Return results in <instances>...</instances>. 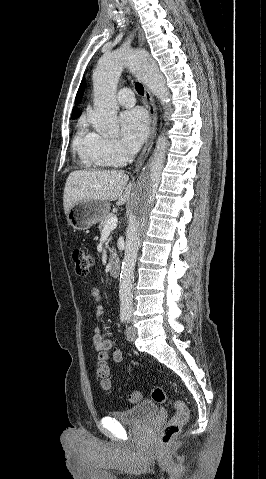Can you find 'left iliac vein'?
Instances as JSON below:
<instances>
[{
  "label": "left iliac vein",
  "instance_id": "left-iliac-vein-1",
  "mask_svg": "<svg viewBox=\"0 0 266 479\" xmlns=\"http://www.w3.org/2000/svg\"><path fill=\"white\" fill-rule=\"evenodd\" d=\"M136 335H137V330L134 327L130 326L127 328L126 338L128 341H133L136 338Z\"/></svg>",
  "mask_w": 266,
  "mask_h": 479
}]
</instances>
